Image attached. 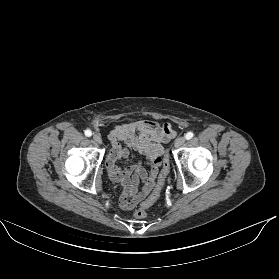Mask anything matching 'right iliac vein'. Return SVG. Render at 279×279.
Returning <instances> with one entry per match:
<instances>
[{
    "label": "right iliac vein",
    "instance_id": "63e3f726",
    "mask_svg": "<svg viewBox=\"0 0 279 279\" xmlns=\"http://www.w3.org/2000/svg\"><path fill=\"white\" fill-rule=\"evenodd\" d=\"M93 140H94L95 142H97L98 144H102V138H101V136L98 135V134L93 135Z\"/></svg>",
    "mask_w": 279,
    "mask_h": 279
}]
</instances>
